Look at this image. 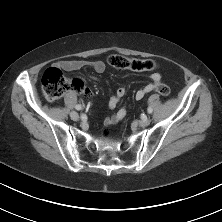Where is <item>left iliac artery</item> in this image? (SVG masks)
I'll return each instance as SVG.
<instances>
[{"mask_svg": "<svg viewBox=\"0 0 222 222\" xmlns=\"http://www.w3.org/2000/svg\"><path fill=\"white\" fill-rule=\"evenodd\" d=\"M147 111L150 114V113H152L153 109L151 107H148Z\"/></svg>", "mask_w": 222, "mask_h": 222, "instance_id": "1", "label": "left iliac artery"}]
</instances>
